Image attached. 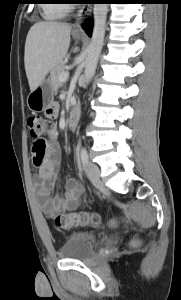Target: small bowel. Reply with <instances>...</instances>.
Listing matches in <instances>:
<instances>
[{"mask_svg":"<svg viewBox=\"0 0 181 300\" xmlns=\"http://www.w3.org/2000/svg\"><path fill=\"white\" fill-rule=\"evenodd\" d=\"M59 112L58 103L51 104L46 115L49 118H55ZM58 131L55 126L48 130V140L46 149L43 153H37L32 150L33 163L37 167L35 177V187L37 196L41 201L42 209L45 214L53 216L58 212L72 210L78 207L82 190L75 178L66 180L64 195H51L52 190L58 184L57 165L59 161V146L56 142Z\"/></svg>","mask_w":181,"mask_h":300,"instance_id":"1","label":"small bowel"}]
</instances>
